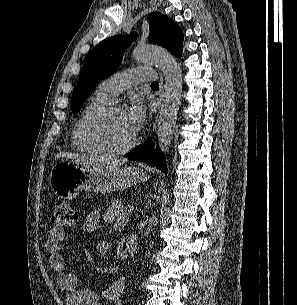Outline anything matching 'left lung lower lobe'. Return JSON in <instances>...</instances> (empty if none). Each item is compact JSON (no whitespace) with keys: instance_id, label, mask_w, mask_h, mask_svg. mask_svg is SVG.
<instances>
[{"instance_id":"obj_1","label":"left lung lower lobe","mask_w":297,"mask_h":305,"mask_svg":"<svg viewBox=\"0 0 297 305\" xmlns=\"http://www.w3.org/2000/svg\"><path fill=\"white\" fill-rule=\"evenodd\" d=\"M125 157L134 161H141L144 159L149 165L156 166L165 174L168 172L165 156L158 148L155 152L154 144L151 140H148L145 144L140 145L130 153H127Z\"/></svg>"}]
</instances>
